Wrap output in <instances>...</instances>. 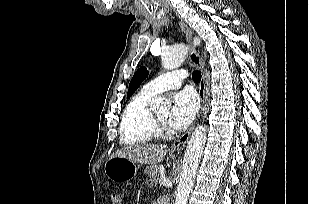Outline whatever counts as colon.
<instances>
[{"label": "colon", "mask_w": 309, "mask_h": 204, "mask_svg": "<svg viewBox=\"0 0 309 204\" xmlns=\"http://www.w3.org/2000/svg\"><path fill=\"white\" fill-rule=\"evenodd\" d=\"M111 199L112 204H121V195L119 193H113Z\"/></svg>", "instance_id": "colon-1"}]
</instances>
